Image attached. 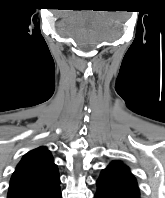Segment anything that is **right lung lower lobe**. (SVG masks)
Here are the masks:
<instances>
[{"label": "right lung lower lobe", "instance_id": "obj_1", "mask_svg": "<svg viewBox=\"0 0 165 198\" xmlns=\"http://www.w3.org/2000/svg\"><path fill=\"white\" fill-rule=\"evenodd\" d=\"M44 198H62L61 192H60V187L57 190H55L54 192H52L51 194H49L48 196H45Z\"/></svg>", "mask_w": 165, "mask_h": 198}]
</instances>
